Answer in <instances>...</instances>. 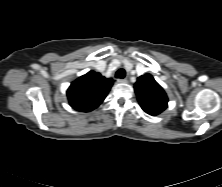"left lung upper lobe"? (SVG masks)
Segmentation results:
<instances>
[{
	"instance_id": "left-lung-upper-lobe-1",
	"label": "left lung upper lobe",
	"mask_w": 222,
	"mask_h": 187,
	"mask_svg": "<svg viewBox=\"0 0 222 187\" xmlns=\"http://www.w3.org/2000/svg\"><path fill=\"white\" fill-rule=\"evenodd\" d=\"M134 89L139 104L146 113L154 116L167 108V95L150 74L138 77Z\"/></svg>"
}]
</instances>
